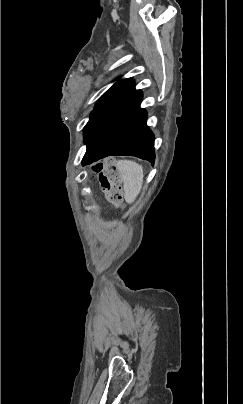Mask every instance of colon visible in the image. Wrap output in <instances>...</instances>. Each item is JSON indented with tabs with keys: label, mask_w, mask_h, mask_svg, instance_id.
I'll return each mask as SVG.
<instances>
[{
	"label": "colon",
	"mask_w": 243,
	"mask_h": 404,
	"mask_svg": "<svg viewBox=\"0 0 243 404\" xmlns=\"http://www.w3.org/2000/svg\"><path fill=\"white\" fill-rule=\"evenodd\" d=\"M95 171L100 172V182L109 201L119 204L122 199V188L117 165L110 163L104 169L102 166H97Z\"/></svg>",
	"instance_id": "obj_1"
}]
</instances>
